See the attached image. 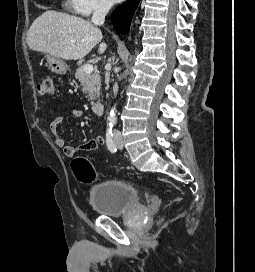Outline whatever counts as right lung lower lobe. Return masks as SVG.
Listing matches in <instances>:
<instances>
[{
    "label": "right lung lower lobe",
    "instance_id": "right-lung-lower-lobe-1",
    "mask_svg": "<svg viewBox=\"0 0 255 272\" xmlns=\"http://www.w3.org/2000/svg\"><path fill=\"white\" fill-rule=\"evenodd\" d=\"M140 0H127L124 4L115 9L111 22L114 29L121 34H128L131 19Z\"/></svg>",
    "mask_w": 255,
    "mask_h": 272
}]
</instances>
